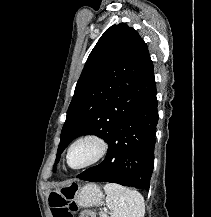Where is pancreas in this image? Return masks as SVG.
Returning a JSON list of instances; mask_svg holds the SVG:
<instances>
[{"label":"pancreas","mask_w":211,"mask_h":217,"mask_svg":"<svg viewBox=\"0 0 211 217\" xmlns=\"http://www.w3.org/2000/svg\"><path fill=\"white\" fill-rule=\"evenodd\" d=\"M99 215H100V217H107V215H106L105 212H103V211H101V212L99 213Z\"/></svg>","instance_id":"1"}]
</instances>
